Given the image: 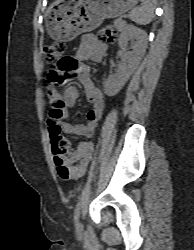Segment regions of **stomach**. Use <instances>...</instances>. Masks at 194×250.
I'll return each mask as SVG.
<instances>
[{
	"label": "stomach",
	"mask_w": 194,
	"mask_h": 250,
	"mask_svg": "<svg viewBox=\"0 0 194 250\" xmlns=\"http://www.w3.org/2000/svg\"><path fill=\"white\" fill-rule=\"evenodd\" d=\"M139 0H62L47 14V31L56 41L68 42L97 28L105 18L132 9Z\"/></svg>",
	"instance_id": "obj_1"
}]
</instances>
